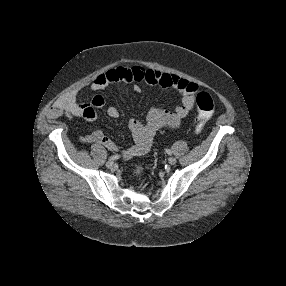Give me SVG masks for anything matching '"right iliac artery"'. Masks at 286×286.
Here are the masks:
<instances>
[{"mask_svg": "<svg viewBox=\"0 0 286 286\" xmlns=\"http://www.w3.org/2000/svg\"><path fill=\"white\" fill-rule=\"evenodd\" d=\"M118 155H113V156H111V157H109V161H114V160H116V159H118Z\"/></svg>", "mask_w": 286, "mask_h": 286, "instance_id": "right-iliac-artery-1", "label": "right iliac artery"}]
</instances>
